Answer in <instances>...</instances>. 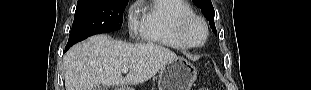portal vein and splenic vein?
Segmentation results:
<instances>
[{
  "label": "portal vein and splenic vein",
  "instance_id": "portal-vein-and-splenic-vein-1",
  "mask_svg": "<svg viewBox=\"0 0 311 90\" xmlns=\"http://www.w3.org/2000/svg\"><path fill=\"white\" fill-rule=\"evenodd\" d=\"M122 72H123V73H127V72H128V68H126V67H125V68H122Z\"/></svg>",
  "mask_w": 311,
  "mask_h": 90
}]
</instances>
